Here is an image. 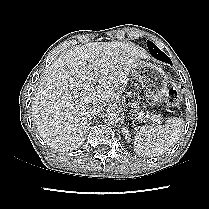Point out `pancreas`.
Listing matches in <instances>:
<instances>
[{
  "label": "pancreas",
  "mask_w": 209,
  "mask_h": 209,
  "mask_svg": "<svg viewBox=\"0 0 209 209\" xmlns=\"http://www.w3.org/2000/svg\"><path fill=\"white\" fill-rule=\"evenodd\" d=\"M134 106H135V105H134ZM135 112H138V110L135 109ZM161 120H162L161 116H157V117H156V121H157V122H161Z\"/></svg>",
  "instance_id": "1"
}]
</instances>
